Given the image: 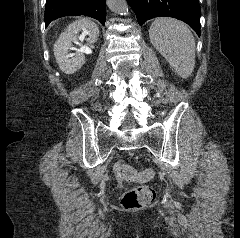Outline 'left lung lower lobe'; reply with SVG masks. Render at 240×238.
<instances>
[{"instance_id":"1","label":"left lung lower lobe","mask_w":240,"mask_h":238,"mask_svg":"<svg viewBox=\"0 0 240 238\" xmlns=\"http://www.w3.org/2000/svg\"><path fill=\"white\" fill-rule=\"evenodd\" d=\"M139 25L155 17H172L190 25L200 36V6L198 0H127Z\"/></svg>"}]
</instances>
